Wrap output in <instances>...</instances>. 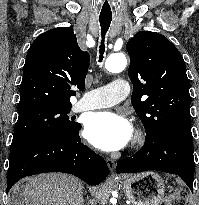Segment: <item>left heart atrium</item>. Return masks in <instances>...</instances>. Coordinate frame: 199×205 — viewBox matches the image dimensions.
I'll use <instances>...</instances> for the list:
<instances>
[{
	"label": "left heart atrium",
	"mask_w": 199,
	"mask_h": 205,
	"mask_svg": "<svg viewBox=\"0 0 199 205\" xmlns=\"http://www.w3.org/2000/svg\"><path fill=\"white\" fill-rule=\"evenodd\" d=\"M84 135L95 147L104 151H116L130 141L132 126L121 114L97 112L89 116Z\"/></svg>",
	"instance_id": "1"
}]
</instances>
